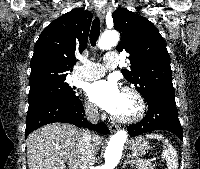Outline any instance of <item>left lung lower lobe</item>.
Returning a JSON list of instances; mask_svg holds the SVG:
<instances>
[{
	"instance_id": "1",
	"label": "left lung lower lobe",
	"mask_w": 200,
	"mask_h": 169,
	"mask_svg": "<svg viewBox=\"0 0 200 169\" xmlns=\"http://www.w3.org/2000/svg\"><path fill=\"white\" fill-rule=\"evenodd\" d=\"M146 101L148 112L142 121L128 127L129 135L134 137L155 130H167L183 140L174 97L154 96Z\"/></svg>"
}]
</instances>
